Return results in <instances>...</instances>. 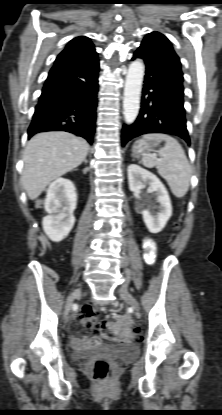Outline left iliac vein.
<instances>
[{
  "label": "left iliac vein",
  "instance_id": "obj_1",
  "mask_svg": "<svg viewBox=\"0 0 222 415\" xmlns=\"http://www.w3.org/2000/svg\"><path fill=\"white\" fill-rule=\"evenodd\" d=\"M119 294H120L121 298L132 307V309L135 311V313L139 314L140 304L134 298V296L128 291L127 286H125V285L122 286L119 289Z\"/></svg>",
  "mask_w": 222,
  "mask_h": 415
}]
</instances>
